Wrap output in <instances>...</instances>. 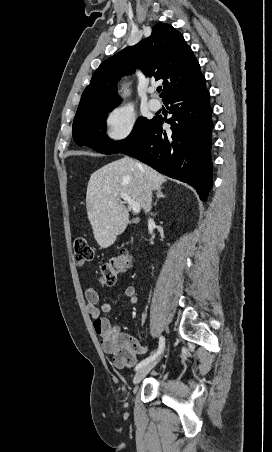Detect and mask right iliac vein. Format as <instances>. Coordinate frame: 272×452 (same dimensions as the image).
I'll use <instances>...</instances> for the list:
<instances>
[{"mask_svg":"<svg viewBox=\"0 0 272 452\" xmlns=\"http://www.w3.org/2000/svg\"><path fill=\"white\" fill-rule=\"evenodd\" d=\"M159 360V359H158ZM158 360L148 363L147 365L141 367L133 378V384L137 385L141 382V380L153 369V367L157 364Z\"/></svg>","mask_w":272,"mask_h":452,"instance_id":"63e3f726","label":"right iliac vein"}]
</instances>
